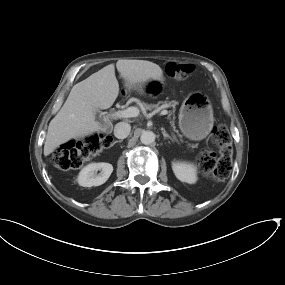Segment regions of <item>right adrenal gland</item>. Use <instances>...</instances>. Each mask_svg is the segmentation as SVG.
<instances>
[{
  "label": "right adrenal gland",
  "mask_w": 285,
  "mask_h": 285,
  "mask_svg": "<svg viewBox=\"0 0 285 285\" xmlns=\"http://www.w3.org/2000/svg\"><path fill=\"white\" fill-rule=\"evenodd\" d=\"M120 142H122V140H116V141H114L113 144H115V143H120Z\"/></svg>",
  "instance_id": "obj_1"
}]
</instances>
